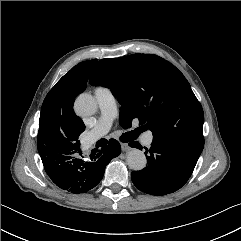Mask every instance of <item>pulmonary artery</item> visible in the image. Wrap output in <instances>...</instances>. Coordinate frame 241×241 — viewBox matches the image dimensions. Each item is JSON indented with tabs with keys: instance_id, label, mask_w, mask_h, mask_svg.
<instances>
[{
	"instance_id": "e3ab8cb5",
	"label": "pulmonary artery",
	"mask_w": 241,
	"mask_h": 241,
	"mask_svg": "<svg viewBox=\"0 0 241 241\" xmlns=\"http://www.w3.org/2000/svg\"><path fill=\"white\" fill-rule=\"evenodd\" d=\"M94 94L100 109V117L94 128L88 132L85 138L84 144L86 147H90L98 139L107 134L117 112L116 100L109 88L97 87L94 90ZM143 142L148 146L152 144L153 133L151 131L143 135Z\"/></svg>"
}]
</instances>
